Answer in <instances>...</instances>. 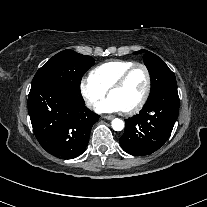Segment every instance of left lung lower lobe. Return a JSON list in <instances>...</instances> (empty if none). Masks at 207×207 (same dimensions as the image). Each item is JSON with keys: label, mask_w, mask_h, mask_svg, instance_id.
I'll return each instance as SVG.
<instances>
[{"label": "left lung lower lobe", "mask_w": 207, "mask_h": 207, "mask_svg": "<svg viewBox=\"0 0 207 207\" xmlns=\"http://www.w3.org/2000/svg\"><path fill=\"white\" fill-rule=\"evenodd\" d=\"M177 89L162 91L148 99L139 114L128 118L119 142L132 155H148L158 150L169 138L177 120Z\"/></svg>", "instance_id": "obj_1"}]
</instances>
